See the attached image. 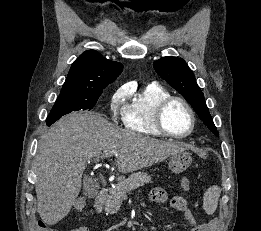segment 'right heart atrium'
<instances>
[{
	"mask_svg": "<svg viewBox=\"0 0 261 231\" xmlns=\"http://www.w3.org/2000/svg\"><path fill=\"white\" fill-rule=\"evenodd\" d=\"M127 88L121 87L117 89L111 96L109 107L115 120L122 121L124 109L122 107L125 97L127 95Z\"/></svg>",
	"mask_w": 261,
	"mask_h": 231,
	"instance_id": "d8ad5b80",
	"label": "right heart atrium"
}]
</instances>
